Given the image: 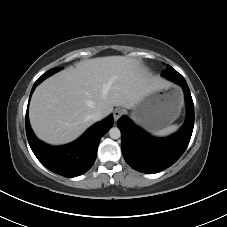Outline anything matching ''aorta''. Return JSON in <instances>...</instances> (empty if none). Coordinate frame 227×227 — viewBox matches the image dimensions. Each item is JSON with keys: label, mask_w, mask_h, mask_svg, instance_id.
Here are the masks:
<instances>
[{"label": "aorta", "mask_w": 227, "mask_h": 227, "mask_svg": "<svg viewBox=\"0 0 227 227\" xmlns=\"http://www.w3.org/2000/svg\"><path fill=\"white\" fill-rule=\"evenodd\" d=\"M109 136H110L112 139H118V138H120V136H121V132H120V130H119L117 127H112V128L109 130Z\"/></svg>", "instance_id": "1"}]
</instances>
